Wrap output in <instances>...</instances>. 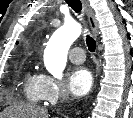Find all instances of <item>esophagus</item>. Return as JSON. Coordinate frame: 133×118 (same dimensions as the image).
<instances>
[{"instance_id": "1", "label": "esophagus", "mask_w": 133, "mask_h": 118, "mask_svg": "<svg viewBox=\"0 0 133 118\" xmlns=\"http://www.w3.org/2000/svg\"><path fill=\"white\" fill-rule=\"evenodd\" d=\"M81 2L83 5V9H84V11L88 17V21H89L92 33L95 36V38H97V36H98V24H97V21L95 19L94 12H93L92 8L90 7L87 0H81Z\"/></svg>"}]
</instances>
